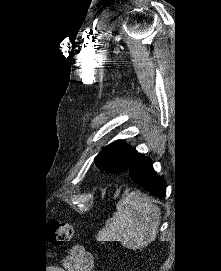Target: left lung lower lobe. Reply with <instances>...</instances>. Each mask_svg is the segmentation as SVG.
Segmentation results:
<instances>
[{
	"instance_id": "obj_1",
	"label": "left lung lower lobe",
	"mask_w": 221,
	"mask_h": 271,
	"mask_svg": "<svg viewBox=\"0 0 221 271\" xmlns=\"http://www.w3.org/2000/svg\"><path fill=\"white\" fill-rule=\"evenodd\" d=\"M127 171L133 181L150 191L153 195L157 197L165 196V182L163 178L154 172L150 158L136 152Z\"/></svg>"
}]
</instances>
